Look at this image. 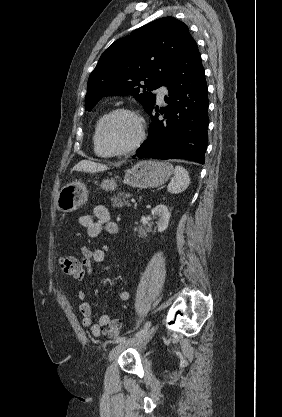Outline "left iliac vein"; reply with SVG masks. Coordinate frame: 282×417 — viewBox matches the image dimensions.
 <instances>
[{
	"instance_id": "obj_1",
	"label": "left iliac vein",
	"mask_w": 282,
	"mask_h": 417,
	"mask_svg": "<svg viewBox=\"0 0 282 417\" xmlns=\"http://www.w3.org/2000/svg\"><path fill=\"white\" fill-rule=\"evenodd\" d=\"M157 326H153L150 329H148L146 332H144L141 335L134 336L130 339H126L120 343H118L109 353V361H113L116 359L122 351H124L126 348L130 346H136L144 341H146L152 333L156 330Z\"/></svg>"
}]
</instances>
